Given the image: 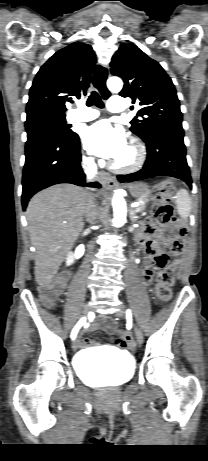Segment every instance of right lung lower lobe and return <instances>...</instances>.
<instances>
[{"label":"right lung lower lobe","instance_id":"obj_1","mask_svg":"<svg viewBox=\"0 0 208 461\" xmlns=\"http://www.w3.org/2000/svg\"><path fill=\"white\" fill-rule=\"evenodd\" d=\"M80 139L58 134H43L26 142L25 165L22 178V206L38 191L59 183L100 188L97 182L86 183L80 165Z\"/></svg>","mask_w":208,"mask_h":461}]
</instances>
